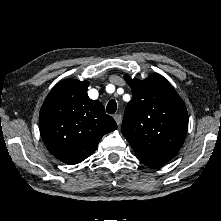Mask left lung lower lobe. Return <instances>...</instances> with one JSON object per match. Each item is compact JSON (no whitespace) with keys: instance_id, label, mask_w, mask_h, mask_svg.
Segmentation results:
<instances>
[{"instance_id":"obj_1","label":"left lung lower lobe","mask_w":221,"mask_h":221,"mask_svg":"<svg viewBox=\"0 0 221 221\" xmlns=\"http://www.w3.org/2000/svg\"><path fill=\"white\" fill-rule=\"evenodd\" d=\"M142 163H144L145 165L149 166V167H152V168H159L161 166H163V164L161 163H157V162H152V161H148V160H145L143 158H138Z\"/></svg>"}]
</instances>
